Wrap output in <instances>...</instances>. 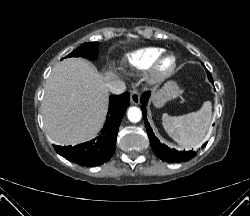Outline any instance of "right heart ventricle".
<instances>
[{
	"label": "right heart ventricle",
	"mask_w": 250,
	"mask_h": 216,
	"mask_svg": "<svg viewBox=\"0 0 250 216\" xmlns=\"http://www.w3.org/2000/svg\"><path fill=\"white\" fill-rule=\"evenodd\" d=\"M165 50L161 47H145L127 54L124 63L132 71L144 72L149 69L152 62Z\"/></svg>",
	"instance_id": "obj_1"
}]
</instances>
